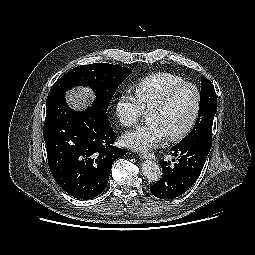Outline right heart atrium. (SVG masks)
I'll return each mask as SVG.
<instances>
[{
    "label": "right heart atrium",
    "instance_id": "obj_1",
    "mask_svg": "<svg viewBox=\"0 0 255 255\" xmlns=\"http://www.w3.org/2000/svg\"><path fill=\"white\" fill-rule=\"evenodd\" d=\"M143 111L136 98L127 91L119 94L115 103V116L123 127H130L142 116Z\"/></svg>",
    "mask_w": 255,
    "mask_h": 255
}]
</instances>
